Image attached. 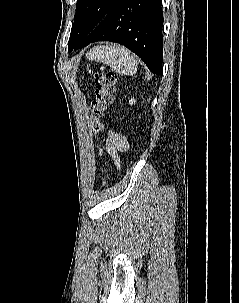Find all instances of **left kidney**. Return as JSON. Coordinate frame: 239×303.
Here are the masks:
<instances>
[{"instance_id": "left-kidney-1", "label": "left kidney", "mask_w": 239, "mask_h": 303, "mask_svg": "<svg viewBox=\"0 0 239 303\" xmlns=\"http://www.w3.org/2000/svg\"><path fill=\"white\" fill-rule=\"evenodd\" d=\"M136 103V100L134 99V98H131L130 100H129V104L130 105H133V104H135Z\"/></svg>"}]
</instances>
